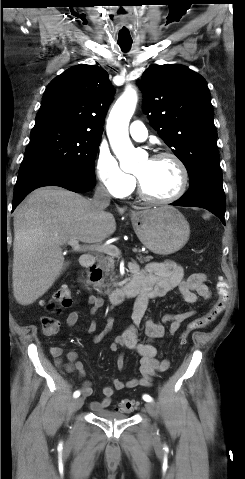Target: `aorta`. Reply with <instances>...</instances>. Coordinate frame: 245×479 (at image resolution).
Masks as SVG:
<instances>
[{"label": "aorta", "instance_id": "1", "mask_svg": "<svg viewBox=\"0 0 245 479\" xmlns=\"http://www.w3.org/2000/svg\"><path fill=\"white\" fill-rule=\"evenodd\" d=\"M137 104V93L128 88L116 101L107 120V135L110 145L120 161L123 171L133 173L138 167V158L130 141L128 126Z\"/></svg>", "mask_w": 245, "mask_h": 479}]
</instances>
